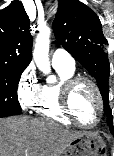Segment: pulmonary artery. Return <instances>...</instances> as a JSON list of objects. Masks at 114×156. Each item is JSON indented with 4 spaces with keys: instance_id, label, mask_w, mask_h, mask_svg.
I'll return each mask as SVG.
<instances>
[{
    "instance_id": "e3ab8cb5",
    "label": "pulmonary artery",
    "mask_w": 114,
    "mask_h": 156,
    "mask_svg": "<svg viewBox=\"0 0 114 156\" xmlns=\"http://www.w3.org/2000/svg\"><path fill=\"white\" fill-rule=\"evenodd\" d=\"M52 64L53 66H61L68 69L75 68L74 58L64 49H56L52 54Z\"/></svg>"
}]
</instances>
